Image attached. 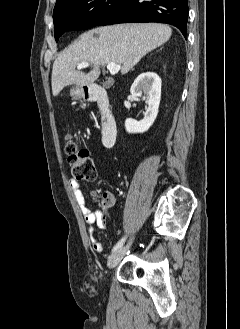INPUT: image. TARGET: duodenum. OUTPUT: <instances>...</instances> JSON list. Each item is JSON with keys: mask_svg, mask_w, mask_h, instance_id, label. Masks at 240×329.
Listing matches in <instances>:
<instances>
[{"mask_svg": "<svg viewBox=\"0 0 240 329\" xmlns=\"http://www.w3.org/2000/svg\"><path fill=\"white\" fill-rule=\"evenodd\" d=\"M85 98L88 101L97 103L100 110L103 144L108 148L112 147L116 142L118 127L109 108L105 90L98 84H91L85 87Z\"/></svg>", "mask_w": 240, "mask_h": 329, "instance_id": "duodenum-1", "label": "duodenum"}]
</instances>
